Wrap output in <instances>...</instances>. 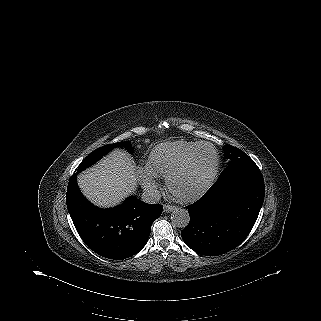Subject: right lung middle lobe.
<instances>
[{"label": "right lung middle lobe", "instance_id": "obj_1", "mask_svg": "<svg viewBox=\"0 0 321 321\" xmlns=\"http://www.w3.org/2000/svg\"><path fill=\"white\" fill-rule=\"evenodd\" d=\"M123 147L127 149H132L131 143L129 141L118 142L115 144H108L103 147H100L93 152H91L78 166V168L75 170L77 173L81 172L82 170L86 169L87 167L91 166L95 162H97L100 158L103 157V155H106L108 152L113 150L114 147Z\"/></svg>", "mask_w": 321, "mask_h": 321}]
</instances>
